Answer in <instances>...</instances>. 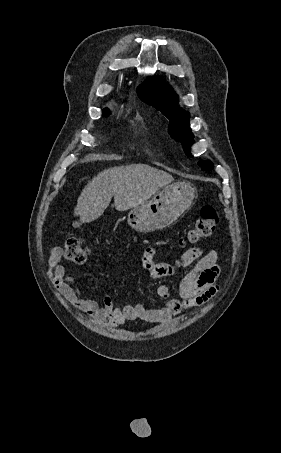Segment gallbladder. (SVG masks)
Listing matches in <instances>:
<instances>
[{
    "label": "gallbladder",
    "instance_id": "bac80fb5",
    "mask_svg": "<svg viewBox=\"0 0 281 453\" xmlns=\"http://www.w3.org/2000/svg\"><path fill=\"white\" fill-rule=\"evenodd\" d=\"M74 226H75L76 228H79V227L81 226V223H80L79 221H76V222L74 223Z\"/></svg>",
    "mask_w": 281,
    "mask_h": 453
}]
</instances>
